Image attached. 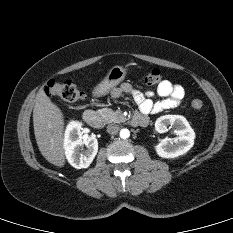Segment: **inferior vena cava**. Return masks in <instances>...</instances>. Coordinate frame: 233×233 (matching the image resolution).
I'll use <instances>...</instances> for the list:
<instances>
[{"label": "inferior vena cava", "mask_w": 233, "mask_h": 233, "mask_svg": "<svg viewBox=\"0 0 233 233\" xmlns=\"http://www.w3.org/2000/svg\"><path fill=\"white\" fill-rule=\"evenodd\" d=\"M118 131H119V126L116 125V124H109V125L107 126V132H108L109 134H111V135L117 134Z\"/></svg>", "instance_id": "602c4592"}]
</instances>
